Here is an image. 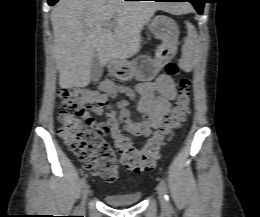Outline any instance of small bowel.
<instances>
[{
  "label": "small bowel",
  "mask_w": 260,
  "mask_h": 217,
  "mask_svg": "<svg viewBox=\"0 0 260 217\" xmlns=\"http://www.w3.org/2000/svg\"><path fill=\"white\" fill-rule=\"evenodd\" d=\"M98 89L110 97L125 94L129 98L122 99L115 104L119 110L115 128L132 136H148L159 129L176 96L175 82L167 74H161L155 81L140 83L134 89L117 85L111 80L101 82ZM137 95L139 96L137 110L140 120L133 119L130 109V101ZM93 112L100 115L102 110L95 108ZM112 136L115 137L114 134Z\"/></svg>",
  "instance_id": "1"
}]
</instances>
